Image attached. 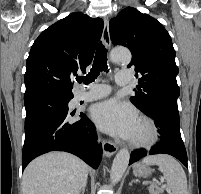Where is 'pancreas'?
Segmentation results:
<instances>
[{"label":"pancreas","instance_id":"obj_1","mask_svg":"<svg viewBox=\"0 0 201 194\" xmlns=\"http://www.w3.org/2000/svg\"><path fill=\"white\" fill-rule=\"evenodd\" d=\"M163 192V189L158 186H150L149 187V193L150 194H160Z\"/></svg>","mask_w":201,"mask_h":194}]
</instances>
